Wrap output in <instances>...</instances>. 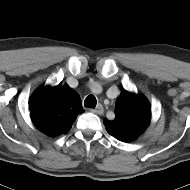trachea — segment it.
<instances>
[{
	"instance_id": "1",
	"label": "trachea",
	"mask_w": 190,
	"mask_h": 190,
	"mask_svg": "<svg viewBox=\"0 0 190 190\" xmlns=\"http://www.w3.org/2000/svg\"><path fill=\"white\" fill-rule=\"evenodd\" d=\"M96 104H97V100H96L95 96H93V95L87 96L84 101V106L88 107V108H95Z\"/></svg>"
}]
</instances>
